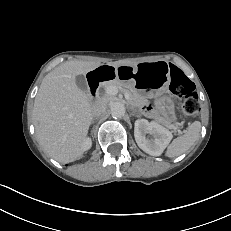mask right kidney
<instances>
[{"label": "right kidney", "mask_w": 231, "mask_h": 231, "mask_svg": "<svg viewBox=\"0 0 231 231\" xmlns=\"http://www.w3.org/2000/svg\"><path fill=\"white\" fill-rule=\"evenodd\" d=\"M92 145V141L90 138H87L83 143V149L84 151L88 150Z\"/></svg>", "instance_id": "right-kidney-1"}]
</instances>
